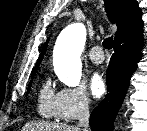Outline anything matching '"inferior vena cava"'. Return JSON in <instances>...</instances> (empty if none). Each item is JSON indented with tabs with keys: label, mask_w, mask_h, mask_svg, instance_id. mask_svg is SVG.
<instances>
[{
	"label": "inferior vena cava",
	"mask_w": 147,
	"mask_h": 131,
	"mask_svg": "<svg viewBox=\"0 0 147 131\" xmlns=\"http://www.w3.org/2000/svg\"><path fill=\"white\" fill-rule=\"evenodd\" d=\"M89 106L88 101L84 100L78 107V128H82V131H88L89 128Z\"/></svg>",
	"instance_id": "602c4592"
}]
</instances>
